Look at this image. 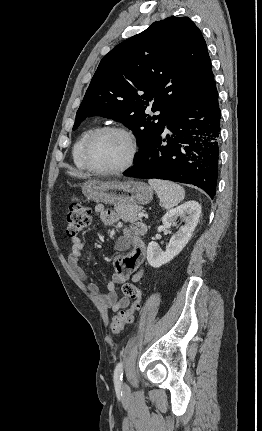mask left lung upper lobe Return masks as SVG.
<instances>
[{
  "instance_id": "1",
  "label": "left lung upper lobe",
  "mask_w": 262,
  "mask_h": 431,
  "mask_svg": "<svg viewBox=\"0 0 262 431\" xmlns=\"http://www.w3.org/2000/svg\"><path fill=\"white\" fill-rule=\"evenodd\" d=\"M214 81L199 28L188 17H168L118 44L99 66L77 111L75 130L88 116L122 122L147 151L168 121ZM151 108L161 111L153 118ZM158 121H155L157 120Z\"/></svg>"
}]
</instances>
